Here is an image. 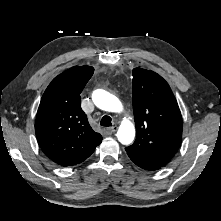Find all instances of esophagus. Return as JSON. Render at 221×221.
I'll use <instances>...</instances> for the list:
<instances>
[{"mask_svg": "<svg viewBox=\"0 0 221 221\" xmlns=\"http://www.w3.org/2000/svg\"><path fill=\"white\" fill-rule=\"evenodd\" d=\"M117 129H118L117 126H112V127H109V128H108V131H109V132H115V131H117Z\"/></svg>", "mask_w": 221, "mask_h": 221, "instance_id": "obj_1", "label": "esophagus"}]
</instances>
